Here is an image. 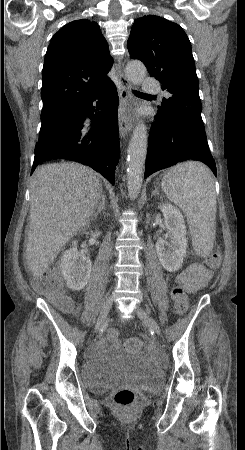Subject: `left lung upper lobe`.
<instances>
[{"label":"left lung upper lobe","mask_w":245,"mask_h":450,"mask_svg":"<svg viewBox=\"0 0 245 450\" xmlns=\"http://www.w3.org/2000/svg\"><path fill=\"white\" fill-rule=\"evenodd\" d=\"M127 47L131 58L141 60L150 76L171 94L162 100L158 112L182 120L206 136L195 62L184 30L159 16H144L135 20Z\"/></svg>","instance_id":"1"}]
</instances>
